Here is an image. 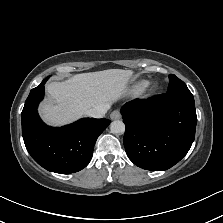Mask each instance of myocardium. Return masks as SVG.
Here are the masks:
<instances>
[{"mask_svg":"<svg viewBox=\"0 0 223 223\" xmlns=\"http://www.w3.org/2000/svg\"><path fill=\"white\" fill-rule=\"evenodd\" d=\"M158 88V83L156 81H147L141 88L140 96L146 97L154 93Z\"/></svg>","mask_w":223,"mask_h":223,"instance_id":"obj_1","label":"myocardium"}]
</instances>
